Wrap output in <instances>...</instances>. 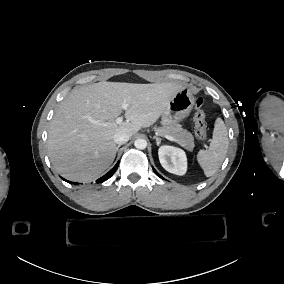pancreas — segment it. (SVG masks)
Wrapping results in <instances>:
<instances>
[{"label":"pancreas","mask_w":284,"mask_h":284,"mask_svg":"<svg viewBox=\"0 0 284 284\" xmlns=\"http://www.w3.org/2000/svg\"><path fill=\"white\" fill-rule=\"evenodd\" d=\"M157 133L165 137L167 135H171L175 138L179 139V144L189 152H192L194 149V137L188 131L185 132L180 128V124L177 122H169L168 127L158 128Z\"/></svg>","instance_id":"obj_1"}]
</instances>
